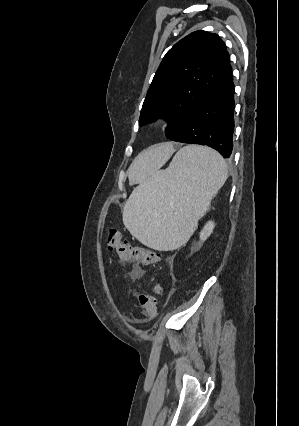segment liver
Returning a JSON list of instances; mask_svg holds the SVG:
<instances>
[{"label": "liver", "mask_w": 299, "mask_h": 426, "mask_svg": "<svg viewBox=\"0 0 299 426\" xmlns=\"http://www.w3.org/2000/svg\"><path fill=\"white\" fill-rule=\"evenodd\" d=\"M175 152L173 143L164 142L153 145L142 151L129 168L132 181H139L154 173Z\"/></svg>", "instance_id": "6515ba94"}]
</instances>
